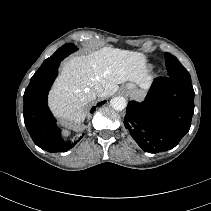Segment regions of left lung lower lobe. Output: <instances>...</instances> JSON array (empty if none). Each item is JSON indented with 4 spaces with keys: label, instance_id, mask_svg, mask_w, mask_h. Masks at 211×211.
Instances as JSON below:
<instances>
[{
    "label": "left lung lower lobe",
    "instance_id": "1",
    "mask_svg": "<svg viewBox=\"0 0 211 211\" xmlns=\"http://www.w3.org/2000/svg\"><path fill=\"white\" fill-rule=\"evenodd\" d=\"M193 112L191 79L160 77L143 102H129L124 124L144 151L157 153L179 143L190 129Z\"/></svg>",
    "mask_w": 211,
    "mask_h": 211
}]
</instances>
